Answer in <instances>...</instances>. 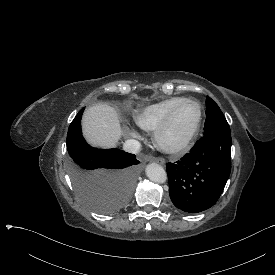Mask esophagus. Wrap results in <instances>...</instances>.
Masks as SVG:
<instances>
[{
  "label": "esophagus",
  "instance_id": "esophagus-1",
  "mask_svg": "<svg viewBox=\"0 0 275 275\" xmlns=\"http://www.w3.org/2000/svg\"><path fill=\"white\" fill-rule=\"evenodd\" d=\"M148 161V160H147ZM155 161L158 163V164H160V165H165V163H166V161H165V159L164 158H157V159H155Z\"/></svg>",
  "mask_w": 275,
  "mask_h": 275
}]
</instances>
